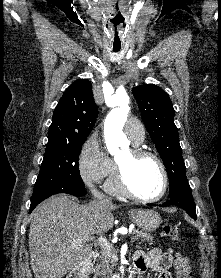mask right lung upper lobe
Wrapping results in <instances>:
<instances>
[{"instance_id":"right-lung-upper-lobe-1","label":"right lung upper lobe","mask_w":221,"mask_h":278,"mask_svg":"<svg viewBox=\"0 0 221 278\" xmlns=\"http://www.w3.org/2000/svg\"><path fill=\"white\" fill-rule=\"evenodd\" d=\"M91 89L87 79H79L66 89L53 113L47 144L71 142L89 135L98 115Z\"/></svg>"}]
</instances>
